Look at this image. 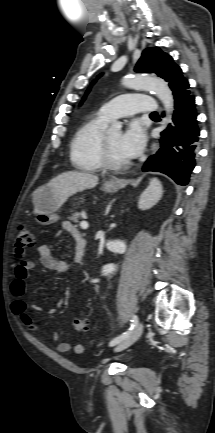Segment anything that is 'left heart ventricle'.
I'll list each match as a JSON object with an SVG mask.
<instances>
[{
    "instance_id": "1",
    "label": "left heart ventricle",
    "mask_w": 215,
    "mask_h": 433,
    "mask_svg": "<svg viewBox=\"0 0 215 433\" xmlns=\"http://www.w3.org/2000/svg\"><path fill=\"white\" fill-rule=\"evenodd\" d=\"M120 137H121L120 131L108 132L107 133L108 146L115 160L126 161L128 160V158L122 154L119 148Z\"/></svg>"
}]
</instances>
